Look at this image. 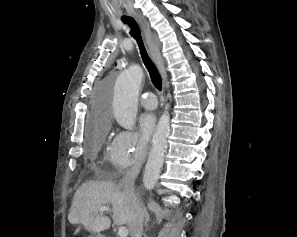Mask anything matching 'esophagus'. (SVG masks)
Masks as SVG:
<instances>
[{
  "label": "esophagus",
  "mask_w": 297,
  "mask_h": 237,
  "mask_svg": "<svg viewBox=\"0 0 297 237\" xmlns=\"http://www.w3.org/2000/svg\"><path fill=\"white\" fill-rule=\"evenodd\" d=\"M139 21H140L141 27H142L143 32H144L145 40H146L150 55H151L152 59L154 60V62L156 63V65H157V67H158V69H159V71L161 73V76L163 78V83L165 85L166 80H167V73H166V70H165V67H164V62H163V59H162V57L160 55L159 49H158L157 45L155 44V42L152 39L149 24L142 17H139Z\"/></svg>",
  "instance_id": "esophagus-1"
}]
</instances>
